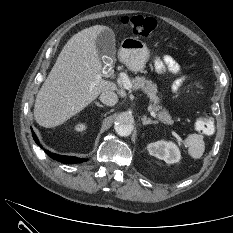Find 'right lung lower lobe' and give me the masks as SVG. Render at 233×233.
I'll return each mask as SVG.
<instances>
[{"mask_svg":"<svg viewBox=\"0 0 233 233\" xmlns=\"http://www.w3.org/2000/svg\"><path fill=\"white\" fill-rule=\"evenodd\" d=\"M32 135H33V138H34L35 142L37 143V145H39L41 147V145L39 144V141L37 139V136L35 135L33 130H32ZM46 153L49 157L53 158L54 160L60 161L62 163H67V164H69V163H81V162L87 161V159H80V158L73 157V156H62V155L50 153L48 151Z\"/></svg>","mask_w":233,"mask_h":233,"instance_id":"obj_1","label":"right lung lower lobe"}]
</instances>
